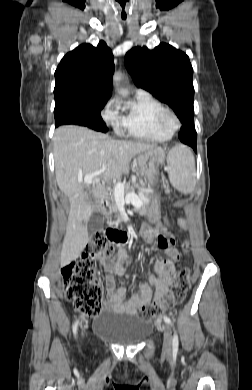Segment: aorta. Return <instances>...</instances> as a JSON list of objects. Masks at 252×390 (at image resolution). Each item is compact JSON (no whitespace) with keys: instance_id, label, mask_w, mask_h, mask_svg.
I'll return each instance as SVG.
<instances>
[{"instance_id":"aorta-1","label":"aorta","mask_w":252,"mask_h":390,"mask_svg":"<svg viewBox=\"0 0 252 390\" xmlns=\"http://www.w3.org/2000/svg\"><path fill=\"white\" fill-rule=\"evenodd\" d=\"M120 78H121V77H120V74H119V73H115V74H114L113 79H114L115 82H118V81L120 80Z\"/></svg>"}]
</instances>
